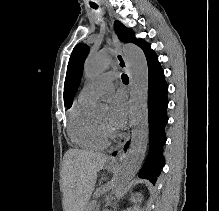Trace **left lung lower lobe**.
Returning <instances> with one entry per match:
<instances>
[{"mask_svg": "<svg viewBox=\"0 0 219 211\" xmlns=\"http://www.w3.org/2000/svg\"><path fill=\"white\" fill-rule=\"evenodd\" d=\"M148 63V121L150 147L146 161L139 172L140 177L156 182L157 176L164 165L162 147L166 142L165 126L167 117L168 85L164 72L154 51L146 55ZM126 144L125 149L128 148ZM116 155V152L113 153Z\"/></svg>", "mask_w": 219, "mask_h": 211, "instance_id": "0a47b994", "label": "left lung lower lobe"}]
</instances>
